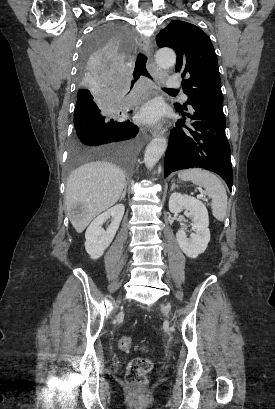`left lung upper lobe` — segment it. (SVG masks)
Wrapping results in <instances>:
<instances>
[{
  "label": "left lung upper lobe",
  "mask_w": 275,
  "mask_h": 409,
  "mask_svg": "<svg viewBox=\"0 0 275 409\" xmlns=\"http://www.w3.org/2000/svg\"><path fill=\"white\" fill-rule=\"evenodd\" d=\"M159 47H170L177 54L175 72L182 76L188 101L176 110L187 111L192 105L223 108L218 61L209 37L197 26L171 21L156 36Z\"/></svg>",
  "instance_id": "obj_1"
}]
</instances>
